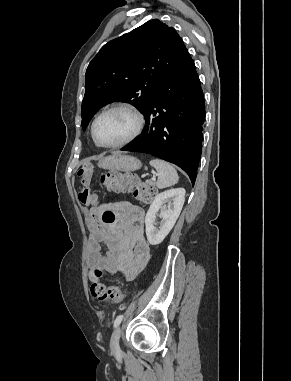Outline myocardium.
<instances>
[{
  "mask_svg": "<svg viewBox=\"0 0 291 381\" xmlns=\"http://www.w3.org/2000/svg\"><path fill=\"white\" fill-rule=\"evenodd\" d=\"M115 110H127L131 112L136 118V127L134 131L132 132V134L128 136L126 139L114 144H104L97 137L96 125L101 117ZM144 125H145V118L142 112L136 106L130 103H118L116 105H113L105 109L104 111H102L100 114L97 115V117L94 119L92 123L91 132H92V137L98 146L103 148H118V147L125 146L131 143L132 141H134L142 133Z\"/></svg>",
  "mask_w": 291,
  "mask_h": 381,
  "instance_id": "f54148a6",
  "label": "myocardium"
}]
</instances>
